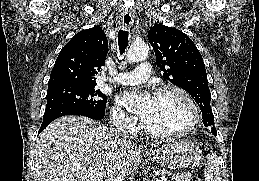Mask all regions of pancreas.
<instances>
[{
	"label": "pancreas",
	"mask_w": 259,
	"mask_h": 181,
	"mask_svg": "<svg viewBox=\"0 0 259 181\" xmlns=\"http://www.w3.org/2000/svg\"><path fill=\"white\" fill-rule=\"evenodd\" d=\"M157 175H168L171 176L172 181H191V174L189 172H184L181 174H172L171 172H168L164 169H159L154 171Z\"/></svg>",
	"instance_id": "1"
}]
</instances>
